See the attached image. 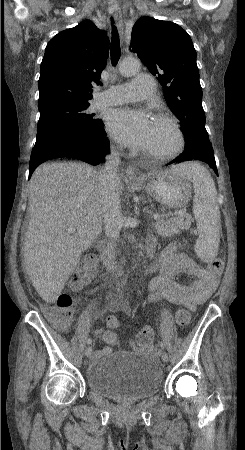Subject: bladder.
Here are the masks:
<instances>
[{
  "label": "bladder",
  "instance_id": "bladder-1",
  "mask_svg": "<svg viewBox=\"0 0 245 450\" xmlns=\"http://www.w3.org/2000/svg\"><path fill=\"white\" fill-rule=\"evenodd\" d=\"M163 381V370L156 361L129 351L92 359L85 376L89 390L102 397L125 402L155 395Z\"/></svg>",
  "mask_w": 245,
  "mask_h": 450
}]
</instances>
